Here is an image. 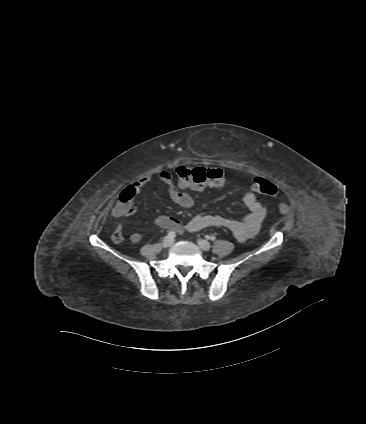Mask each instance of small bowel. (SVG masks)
I'll use <instances>...</instances> for the list:
<instances>
[{
  "label": "small bowel",
  "instance_id": "obj_1",
  "mask_svg": "<svg viewBox=\"0 0 366 424\" xmlns=\"http://www.w3.org/2000/svg\"><path fill=\"white\" fill-rule=\"evenodd\" d=\"M217 173L222 172L219 178H216V182L209 185L208 187H220L226 182V171L223 168H214ZM157 178L163 182L168 190L171 200L179 206L189 208L194 204V198L186 193L181 191L173 182L171 175L168 172L162 171L157 174ZM152 176H145L138 179L132 185V189L137 193L141 190L149 181H151ZM181 187L187 188V186L181 185ZM190 188V187H189ZM204 188H191L193 190H203ZM255 190L253 185L250 189L244 194L243 202L249 210V213L243 217L241 220H234L230 218H225L217 214H199L190 219L186 224H182L176 218L170 216H159L155 219L154 224L158 227L174 230L178 233L188 232H197L208 227H219L225 228L230 231L233 236L239 241H245L254 237L260 230L261 224L266 217L267 209L266 207L257 200L255 195ZM113 218L118 219L119 217L113 211ZM112 239L116 243H121L124 240V237L121 232V225L118 224L112 233ZM142 239L141 234L134 233L130 236V241L132 243H139Z\"/></svg>",
  "mask_w": 366,
  "mask_h": 424
}]
</instances>
